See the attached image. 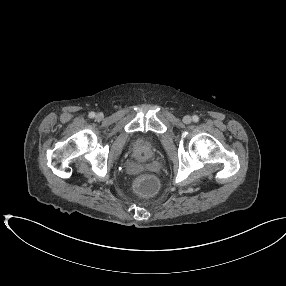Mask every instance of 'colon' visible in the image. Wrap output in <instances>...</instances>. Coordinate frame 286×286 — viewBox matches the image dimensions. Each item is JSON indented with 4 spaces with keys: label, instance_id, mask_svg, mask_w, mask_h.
<instances>
[{
    "label": "colon",
    "instance_id": "5ec220e1",
    "mask_svg": "<svg viewBox=\"0 0 286 286\" xmlns=\"http://www.w3.org/2000/svg\"><path fill=\"white\" fill-rule=\"evenodd\" d=\"M158 189L157 179L149 174L140 176L135 183V190L141 195H152Z\"/></svg>",
    "mask_w": 286,
    "mask_h": 286
}]
</instances>
